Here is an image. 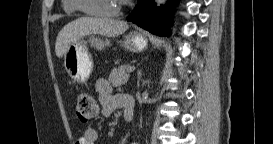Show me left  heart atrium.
<instances>
[{"instance_id":"1","label":"left heart atrium","mask_w":273,"mask_h":144,"mask_svg":"<svg viewBox=\"0 0 273 144\" xmlns=\"http://www.w3.org/2000/svg\"><path fill=\"white\" fill-rule=\"evenodd\" d=\"M120 2H126V0H120Z\"/></svg>"}]
</instances>
